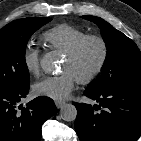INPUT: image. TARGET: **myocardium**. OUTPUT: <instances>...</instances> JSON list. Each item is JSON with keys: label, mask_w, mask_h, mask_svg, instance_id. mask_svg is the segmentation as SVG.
Returning a JSON list of instances; mask_svg holds the SVG:
<instances>
[{"label": "myocardium", "mask_w": 141, "mask_h": 141, "mask_svg": "<svg viewBox=\"0 0 141 141\" xmlns=\"http://www.w3.org/2000/svg\"><path fill=\"white\" fill-rule=\"evenodd\" d=\"M90 42H96L99 45L100 57L95 67L88 74L77 78V81L80 84H89L95 81L103 72L109 56L108 43L103 36L98 34H86L69 51L66 52V57L71 61H76L82 54L86 45Z\"/></svg>", "instance_id": "1"}]
</instances>
